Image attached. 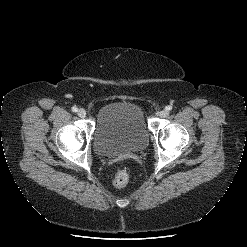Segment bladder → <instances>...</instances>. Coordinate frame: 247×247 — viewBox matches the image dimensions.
<instances>
[{
    "label": "bladder",
    "instance_id": "31cf9c89",
    "mask_svg": "<svg viewBox=\"0 0 247 247\" xmlns=\"http://www.w3.org/2000/svg\"><path fill=\"white\" fill-rule=\"evenodd\" d=\"M149 142V128L142 107L133 101H114L96 117L93 146L98 155L139 152Z\"/></svg>",
    "mask_w": 247,
    "mask_h": 247
}]
</instances>
